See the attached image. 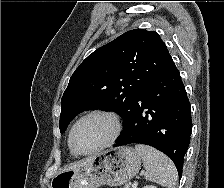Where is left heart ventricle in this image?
Masks as SVG:
<instances>
[{"label":"left heart ventricle","mask_w":224,"mask_h":188,"mask_svg":"<svg viewBox=\"0 0 224 188\" xmlns=\"http://www.w3.org/2000/svg\"><path fill=\"white\" fill-rule=\"evenodd\" d=\"M113 125L105 116L95 115L85 119L77 128L74 144L81 151H90L103 144L112 134Z\"/></svg>","instance_id":"b2bd125f"}]
</instances>
